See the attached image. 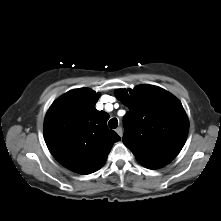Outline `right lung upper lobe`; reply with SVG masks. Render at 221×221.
I'll use <instances>...</instances> for the list:
<instances>
[{
  "mask_svg": "<svg viewBox=\"0 0 221 221\" xmlns=\"http://www.w3.org/2000/svg\"><path fill=\"white\" fill-rule=\"evenodd\" d=\"M99 94L88 88L68 91L49 108L44 137L54 158L79 174L100 169L120 137L108 129L109 115L98 111Z\"/></svg>",
  "mask_w": 221,
  "mask_h": 221,
  "instance_id": "cb5924a9",
  "label": "right lung upper lobe"
}]
</instances>
